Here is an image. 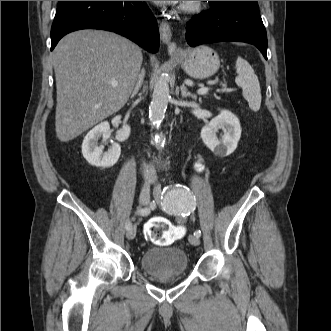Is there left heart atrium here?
Masks as SVG:
<instances>
[{
  "mask_svg": "<svg viewBox=\"0 0 331 331\" xmlns=\"http://www.w3.org/2000/svg\"><path fill=\"white\" fill-rule=\"evenodd\" d=\"M153 2L158 5H166V4H174L177 3L178 1H153Z\"/></svg>",
  "mask_w": 331,
  "mask_h": 331,
  "instance_id": "left-heart-atrium-1",
  "label": "left heart atrium"
}]
</instances>
